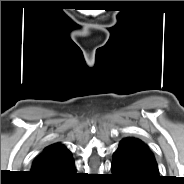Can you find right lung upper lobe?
Wrapping results in <instances>:
<instances>
[{"mask_svg":"<svg viewBox=\"0 0 184 184\" xmlns=\"http://www.w3.org/2000/svg\"><path fill=\"white\" fill-rule=\"evenodd\" d=\"M71 158L70 151L62 144L48 146L33 163L32 174L39 175L54 170L61 163Z\"/></svg>","mask_w":184,"mask_h":184,"instance_id":"obj_1","label":"right lung upper lobe"}]
</instances>
